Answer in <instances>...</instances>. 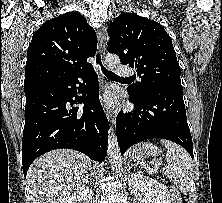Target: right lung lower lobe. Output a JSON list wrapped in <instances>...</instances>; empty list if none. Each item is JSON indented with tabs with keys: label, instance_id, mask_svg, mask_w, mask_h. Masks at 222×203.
I'll return each mask as SVG.
<instances>
[{
	"label": "right lung lower lobe",
	"instance_id": "obj_1",
	"mask_svg": "<svg viewBox=\"0 0 222 203\" xmlns=\"http://www.w3.org/2000/svg\"><path fill=\"white\" fill-rule=\"evenodd\" d=\"M98 89V77L92 69L82 76L58 80L25 93L24 176L37 157L54 149H74L94 161L106 157L109 123ZM68 103H84V107L79 110Z\"/></svg>",
	"mask_w": 222,
	"mask_h": 203
}]
</instances>
